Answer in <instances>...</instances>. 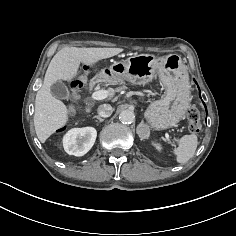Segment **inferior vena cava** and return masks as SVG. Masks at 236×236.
Wrapping results in <instances>:
<instances>
[{"label": "inferior vena cava", "mask_w": 236, "mask_h": 236, "mask_svg": "<svg viewBox=\"0 0 236 236\" xmlns=\"http://www.w3.org/2000/svg\"><path fill=\"white\" fill-rule=\"evenodd\" d=\"M113 113V108L109 104H103L98 107V114L101 117L107 118Z\"/></svg>", "instance_id": "obj_1"}]
</instances>
